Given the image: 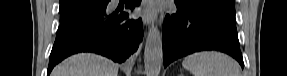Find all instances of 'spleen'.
Returning <instances> with one entry per match:
<instances>
[{"label":"spleen","mask_w":287,"mask_h":76,"mask_svg":"<svg viewBox=\"0 0 287 76\" xmlns=\"http://www.w3.org/2000/svg\"><path fill=\"white\" fill-rule=\"evenodd\" d=\"M182 66L194 76H241L238 64L231 57L215 51L189 55Z\"/></svg>","instance_id":"1"}]
</instances>
